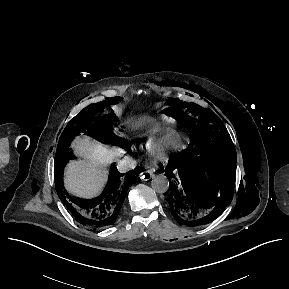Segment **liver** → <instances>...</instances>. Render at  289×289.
Wrapping results in <instances>:
<instances>
[{"instance_id":"1","label":"liver","mask_w":289,"mask_h":289,"mask_svg":"<svg viewBox=\"0 0 289 289\" xmlns=\"http://www.w3.org/2000/svg\"><path fill=\"white\" fill-rule=\"evenodd\" d=\"M83 163H72L67 167L65 187L73 196L92 198L103 188L107 171L105 166L113 152L89 138H77L73 144Z\"/></svg>"}]
</instances>
